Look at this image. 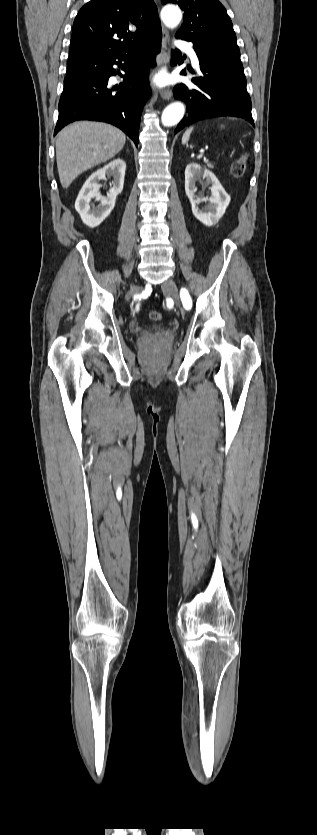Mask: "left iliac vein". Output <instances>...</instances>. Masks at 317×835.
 <instances>
[{
  "label": "left iliac vein",
  "mask_w": 317,
  "mask_h": 835,
  "mask_svg": "<svg viewBox=\"0 0 317 835\" xmlns=\"http://www.w3.org/2000/svg\"><path fill=\"white\" fill-rule=\"evenodd\" d=\"M162 290H163L166 294H168V295L172 296V297H173V299L176 301L177 306H179V307H180V296H179V290H178V288H177V286H176L175 282H174L172 279H168V280H166V281L162 284Z\"/></svg>",
  "instance_id": "obj_1"
}]
</instances>
